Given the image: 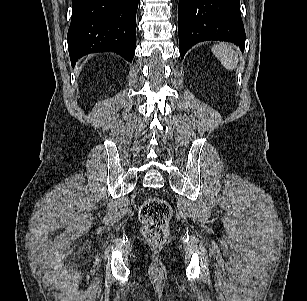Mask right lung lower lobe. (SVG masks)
I'll return each mask as SVG.
<instances>
[{
    "label": "right lung lower lobe",
    "mask_w": 307,
    "mask_h": 301,
    "mask_svg": "<svg viewBox=\"0 0 307 301\" xmlns=\"http://www.w3.org/2000/svg\"><path fill=\"white\" fill-rule=\"evenodd\" d=\"M67 42L72 66L84 55L113 51L132 61L138 0H73Z\"/></svg>",
    "instance_id": "obj_1"
}]
</instances>
